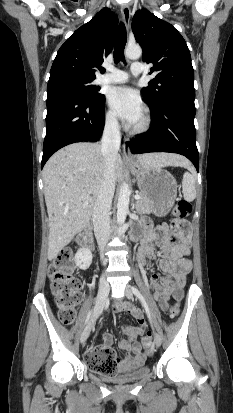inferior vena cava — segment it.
<instances>
[{
	"label": "inferior vena cava",
	"mask_w": 233,
	"mask_h": 413,
	"mask_svg": "<svg viewBox=\"0 0 233 413\" xmlns=\"http://www.w3.org/2000/svg\"><path fill=\"white\" fill-rule=\"evenodd\" d=\"M120 142L118 121L114 117H109L106 119L101 140V154L105 160L103 179L92 214L94 233L102 259L104 248L111 233L110 209L115 191L114 168Z\"/></svg>",
	"instance_id": "1"
}]
</instances>
